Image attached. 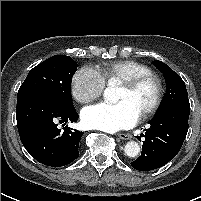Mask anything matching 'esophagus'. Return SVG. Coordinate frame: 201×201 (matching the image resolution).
I'll return each mask as SVG.
<instances>
[{"label":"esophagus","mask_w":201,"mask_h":201,"mask_svg":"<svg viewBox=\"0 0 201 201\" xmlns=\"http://www.w3.org/2000/svg\"><path fill=\"white\" fill-rule=\"evenodd\" d=\"M117 137L121 140H129L131 138L129 134H118Z\"/></svg>","instance_id":"1"}]
</instances>
